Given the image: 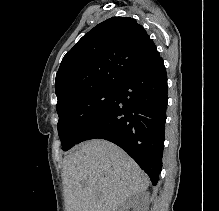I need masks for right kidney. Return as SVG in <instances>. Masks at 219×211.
Returning <instances> with one entry per match:
<instances>
[{
  "label": "right kidney",
  "mask_w": 219,
  "mask_h": 211,
  "mask_svg": "<svg viewBox=\"0 0 219 211\" xmlns=\"http://www.w3.org/2000/svg\"><path fill=\"white\" fill-rule=\"evenodd\" d=\"M138 201H142L141 195H133L131 199H127L125 205L121 207L120 211H126V207H135V203H138Z\"/></svg>",
  "instance_id": "right-kidney-1"
}]
</instances>
